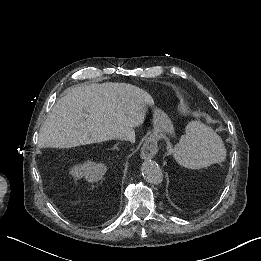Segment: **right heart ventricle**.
<instances>
[{"label": "right heart ventricle", "instance_id": "1", "mask_svg": "<svg viewBox=\"0 0 261 261\" xmlns=\"http://www.w3.org/2000/svg\"><path fill=\"white\" fill-rule=\"evenodd\" d=\"M183 100L182 97L172 92H158L153 108H162L174 115H179L182 111Z\"/></svg>", "mask_w": 261, "mask_h": 261}]
</instances>
